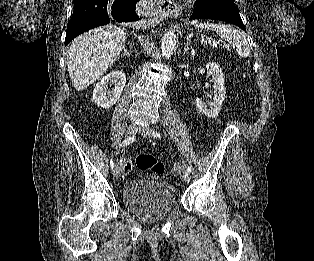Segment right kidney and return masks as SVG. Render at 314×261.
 <instances>
[{
  "label": "right kidney",
  "instance_id": "1",
  "mask_svg": "<svg viewBox=\"0 0 314 261\" xmlns=\"http://www.w3.org/2000/svg\"><path fill=\"white\" fill-rule=\"evenodd\" d=\"M115 83L112 90L107 89V83ZM126 84V76L122 71H113L104 76L94 88L93 100L99 107L110 108L119 99Z\"/></svg>",
  "mask_w": 314,
  "mask_h": 261
}]
</instances>
